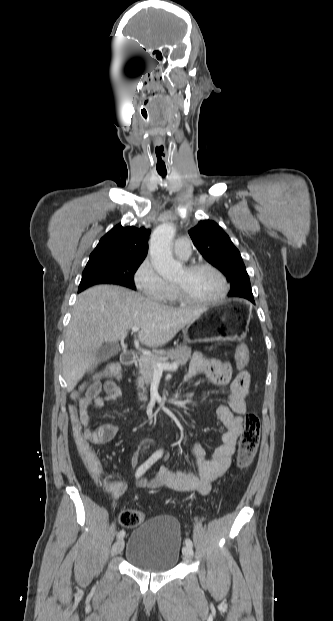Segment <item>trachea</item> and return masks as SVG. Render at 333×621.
<instances>
[{
    "label": "trachea",
    "instance_id": "3493384b",
    "mask_svg": "<svg viewBox=\"0 0 333 621\" xmlns=\"http://www.w3.org/2000/svg\"><path fill=\"white\" fill-rule=\"evenodd\" d=\"M158 173H159V175H160L162 178H165V177H166V175H167V173H166V172H158Z\"/></svg>",
    "mask_w": 333,
    "mask_h": 621
}]
</instances>
